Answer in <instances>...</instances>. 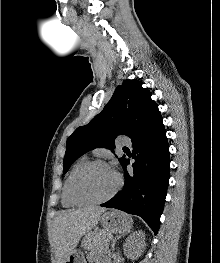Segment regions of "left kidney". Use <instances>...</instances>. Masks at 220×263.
Listing matches in <instances>:
<instances>
[{
  "label": "left kidney",
  "mask_w": 220,
  "mask_h": 263,
  "mask_svg": "<svg viewBox=\"0 0 220 263\" xmlns=\"http://www.w3.org/2000/svg\"><path fill=\"white\" fill-rule=\"evenodd\" d=\"M145 233L142 230L133 232L124 243V254L130 259H137L145 249Z\"/></svg>",
  "instance_id": "left-kidney-1"
}]
</instances>
